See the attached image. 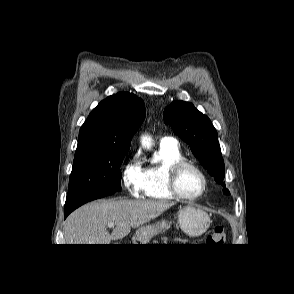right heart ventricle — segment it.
Returning <instances> with one entry per match:
<instances>
[{
  "label": "right heart ventricle",
  "mask_w": 294,
  "mask_h": 294,
  "mask_svg": "<svg viewBox=\"0 0 294 294\" xmlns=\"http://www.w3.org/2000/svg\"><path fill=\"white\" fill-rule=\"evenodd\" d=\"M158 163L144 167L143 194L146 198L159 201L175 199L167 187L168 169L172 163L183 159L178 146L159 145Z\"/></svg>",
  "instance_id": "right-heart-ventricle-1"
}]
</instances>
